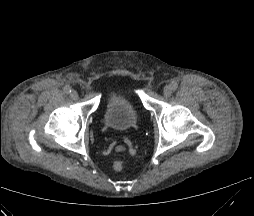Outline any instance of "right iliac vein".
<instances>
[{"label":"right iliac vein","mask_w":254,"mask_h":216,"mask_svg":"<svg viewBox=\"0 0 254 216\" xmlns=\"http://www.w3.org/2000/svg\"><path fill=\"white\" fill-rule=\"evenodd\" d=\"M70 96L71 98L75 99L78 97V92L76 90H73L71 93H70Z\"/></svg>","instance_id":"obj_1"}]
</instances>
